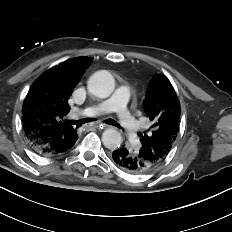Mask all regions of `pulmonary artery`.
<instances>
[{
    "mask_svg": "<svg viewBox=\"0 0 232 232\" xmlns=\"http://www.w3.org/2000/svg\"><path fill=\"white\" fill-rule=\"evenodd\" d=\"M130 95L131 91L129 87L119 86L110 99L105 100L98 105L87 107L81 111V114L91 116L116 111L118 114L119 123L125 129L129 140L132 142L136 149H139L137 134L139 123L137 120H135L127 107Z\"/></svg>",
    "mask_w": 232,
    "mask_h": 232,
    "instance_id": "1",
    "label": "pulmonary artery"
}]
</instances>
